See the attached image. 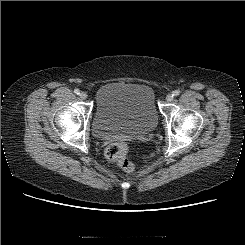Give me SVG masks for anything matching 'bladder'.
<instances>
[{"label":"bladder","mask_w":245,"mask_h":245,"mask_svg":"<svg viewBox=\"0 0 245 245\" xmlns=\"http://www.w3.org/2000/svg\"><path fill=\"white\" fill-rule=\"evenodd\" d=\"M158 124L153 89L145 84L108 82L96 93L93 130L99 138H141Z\"/></svg>","instance_id":"31cf9c89"}]
</instances>
